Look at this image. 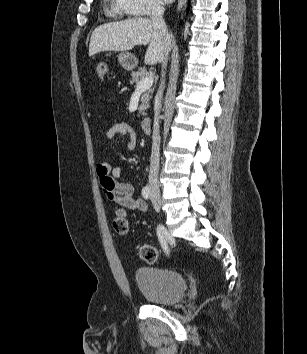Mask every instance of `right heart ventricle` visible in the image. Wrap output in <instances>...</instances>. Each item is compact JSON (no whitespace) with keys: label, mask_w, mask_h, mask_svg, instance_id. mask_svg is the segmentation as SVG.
I'll return each mask as SVG.
<instances>
[{"label":"right heart ventricle","mask_w":307,"mask_h":354,"mask_svg":"<svg viewBox=\"0 0 307 354\" xmlns=\"http://www.w3.org/2000/svg\"><path fill=\"white\" fill-rule=\"evenodd\" d=\"M108 14L112 16L130 14L121 0H112Z\"/></svg>","instance_id":"1"}]
</instances>
